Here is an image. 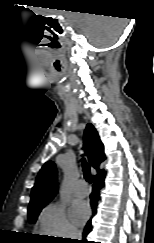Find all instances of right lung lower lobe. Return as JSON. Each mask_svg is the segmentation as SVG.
Returning <instances> with one entry per match:
<instances>
[{
  "mask_svg": "<svg viewBox=\"0 0 154 243\" xmlns=\"http://www.w3.org/2000/svg\"><path fill=\"white\" fill-rule=\"evenodd\" d=\"M104 178H105V172H102L94 176L93 191L92 194L90 195L91 207L93 211H96L97 202L99 199V191L104 185ZM90 231H91V220L87 222L84 228L83 237L85 238ZM52 242L56 243L57 240H53ZM62 243H87V241L84 239L82 241H69V242L62 241Z\"/></svg>",
  "mask_w": 154,
  "mask_h": 243,
  "instance_id": "obj_1",
  "label": "right lung lower lobe"
}]
</instances>
